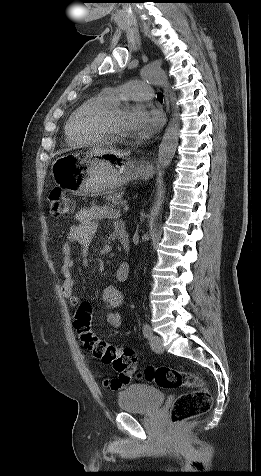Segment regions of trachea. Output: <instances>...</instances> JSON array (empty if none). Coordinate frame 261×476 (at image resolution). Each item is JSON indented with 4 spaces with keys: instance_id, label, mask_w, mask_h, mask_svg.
I'll list each match as a JSON object with an SVG mask.
<instances>
[{
    "instance_id": "1",
    "label": "trachea",
    "mask_w": 261,
    "mask_h": 476,
    "mask_svg": "<svg viewBox=\"0 0 261 476\" xmlns=\"http://www.w3.org/2000/svg\"><path fill=\"white\" fill-rule=\"evenodd\" d=\"M157 99H158L159 101H163V94H162V93H159V94L157 95Z\"/></svg>"
}]
</instances>
